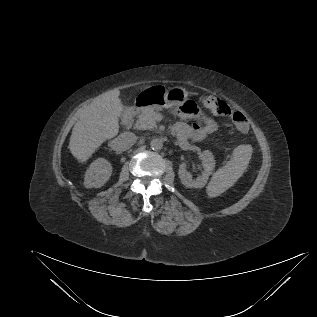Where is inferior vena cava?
<instances>
[{
  "label": "inferior vena cava",
  "instance_id": "inferior-vena-cava-1",
  "mask_svg": "<svg viewBox=\"0 0 317 317\" xmlns=\"http://www.w3.org/2000/svg\"><path fill=\"white\" fill-rule=\"evenodd\" d=\"M136 143V136L130 132H124L110 142V147L117 153L130 149Z\"/></svg>",
  "mask_w": 317,
  "mask_h": 317
}]
</instances>
